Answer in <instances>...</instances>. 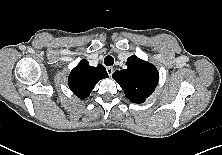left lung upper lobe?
I'll return each mask as SVG.
<instances>
[{"mask_svg": "<svg viewBox=\"0 0 222 155\" xmlns=\"http://www.w3.org/2000/svg\"><path fill=\"white\" fill-rule=\"evenodd\" d=\"M128 68L113 73L112 77L124 90L126 97L133 103H143L158 83L156 67L133 55L127 59Z\"/></svg>", "mask_w": 222, "mask_h": 155, "instance_id": "left-lung-upper-lobe-1", "label": "left lung upper lobe"}]
</instances>
